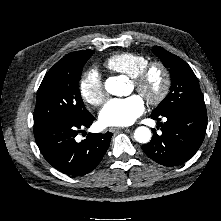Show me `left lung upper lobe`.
<instances>
[{"label":"left lung upper lobe","mask_w":221,"mask_h":221,"mask_svg":"<svg viewBox=\"0 0 221 221\" xmlns=\"http://www.w3.org/2000/svg\"><path fill=\"white\" fill-rule=\"evenodd\" d=\"M153 53L170 69L171 88L152 114L163 115L182 108H203L205 102L199 82L190 66L178 56L154 46Z\"/></svg>","instance_id":"left-lung-upper-lobe-1"}]
</instances>
